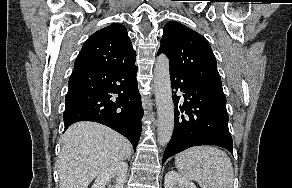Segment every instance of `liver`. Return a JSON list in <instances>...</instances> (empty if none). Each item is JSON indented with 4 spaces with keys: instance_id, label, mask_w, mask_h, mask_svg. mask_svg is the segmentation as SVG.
Returning <instances> with one entry per match:
<instances>
[{
    "instance_id": "obj_1",
    "label": "liver",
    "mask_w": 292,
    "mask_h": 188,
    "mask_svg": "<svg viewBox=\"0 0 292 188\" xmlns=\"http://www.w3.org/2000/svg\"><path fill=\"white\" fill-rule=\"evenodd\" d=\"M57 169L60 188H88L100 173L131 154L130 142L94 122H78L63 135Z\"/></svg>"
}]
</instances>
